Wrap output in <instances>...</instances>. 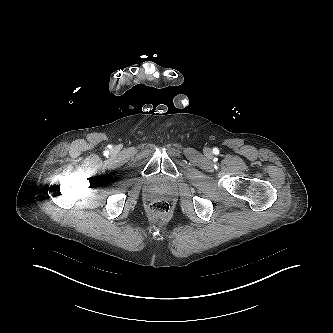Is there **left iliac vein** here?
Returning <instances> with one entry per match:
<instances>
[{"label":"left iliac vein","instance_id":"1","mask_svg":"<svg viewBox=\"0 0 333 333\" xmlns=\"http://www.w3.org/2000/svg\"><path fill=\"white\" fill-rule=\"evenodd\" d=\"M206 153H207V154H210V153H211V150H210V149H206Z\"/></svg>","mask_w":333,"mask_h":333}]
</instances>
